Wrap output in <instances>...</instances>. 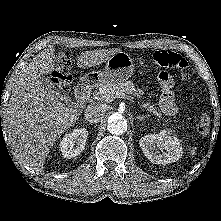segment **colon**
<instances>
[{"mask_svg":"<svg viewBox=\"0 0 221 221\" xmlns=\"http://www.w3.org/2000/svg\"><path fill=\"white\" fill-rule=\"evenodd\" d=\"M152 60L159 67L179 70L183 81H188L190 79V75L187 71L188 62L180 54L170 50H158L154 52ZM71 70L72 63L69 52L67 50H60L55 54V71L53 74L54 83L59 89H67ZM158 81L163 88V92L172 91L173 80L167 72L161 71L158 75ZM210 125L211 121L209 115L207 113H202L197 124L198 132L202 135L208 134Z\"/></svg>","mask_w":221,"mask_h":221,"instance_id":"colon-1","label":"colon"}]
</instances>
